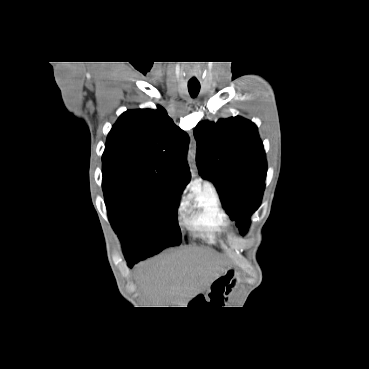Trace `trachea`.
Returning <instances> with one entry per match:
<instances>
[{
    "mask_svg": "<svg viewBox=\"0 0 369 369\" xmlns=\"http://www.w3.org/2000/svg\"><path fill=\"white\" fill-rule=\"evenodd\" d=\"M188 90L192 97H196L200 91L199 83H188Z\"/></svg>",
    "mask_w": 369,
    "mask_h": 369,
    "instance_id": "1",
    "label": "trachea"
}]
</instances>
